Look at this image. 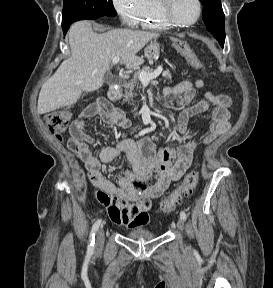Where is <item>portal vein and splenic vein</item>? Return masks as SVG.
Wrapping results in <instances>:
<instances>
[{
	"label": "portal vein and splenic vein",
	"instance_id": "1",
	"mask_svg": "<svg viewBox=\"0 0 273 288\" xmlns=\"http://www.w3.org/2000/svg\"><path fill=\"white\" fill-rule=\"evenodd\" d=\"M119 61H120V57H114L112 59L113 64H117ZM161 72H162V67L159 66L152 73L140 72L138 75V78L143 84H148L151 80L157 78Z\"/></svg>",
	"mask_w": 273,
	"mask_h": 288
}]
</instances>
